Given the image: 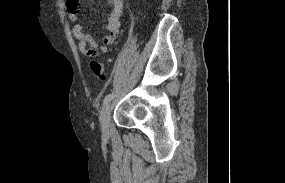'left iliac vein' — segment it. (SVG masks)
<instances>
[{
	"mask_svg": "<svg viewBox=\"0 0 285 183\" xmlns=\"http://www.w3.org/2000/svg\"><path fill=\"white\" fill-rule=\"evenodd\" d=\"M111 104H107L101 111L100 124L101 130L105 137L110 135V115H111Z\"/></svg>",
	"mask_w": 285,
	"mask_h": 183,
	"instance_id": "left-iliac-vein-1",
	"label": "left iliac vein"
}]
</instances>
